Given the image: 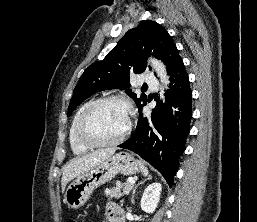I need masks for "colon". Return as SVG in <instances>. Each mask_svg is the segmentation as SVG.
<instances>
[{"label":"colon","instance_id":"obj_1","mask_svg":"<svg viewBox=\"0 0 257 222\" xmlns=\"http://www.w3.org/2000/svg\"><path fill=\"white\" fill-rule=\"evenodd\" d=\"M68 222H80V221L77 220V219H71V220H69Z\"/></svg>","mask_w":257,"mask_h":222}]
</instances>
